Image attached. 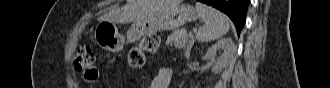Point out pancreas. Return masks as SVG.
<instances>
[{"mask_svg": "<svg viewBox=\"0 0 330 88\" xmlns=\"http://www.w3.org/2000/svg\"><path fill=\"white\" fill-rule=\"evenodd\" d=\"M188 41L189 38L186 29L175 30L167 37V43L170 46L174 45L177 49L185 48Z\"/></svg>", "mask_w": 330, "mask_h": 88, "instance_id": "1", "label": "pancreas"}]
</instances>
